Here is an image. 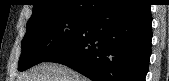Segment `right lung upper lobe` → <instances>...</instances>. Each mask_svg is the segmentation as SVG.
I'll list each match as a JSON object with an SVG mask.
<instances>
[{
    "label": "right lung upper lobe",
    "instance_id": "cb5924a9",
    "mask_svg": "<svg viewBox=\"0 0 169 81\" xmlns=\"http://www.w3.org/2000/svg\"><path fill=\"white\" fill-rule=\"evenodd\" d=\"M109 0H34L33 14L28 23L51 16L89 17Z\"/></svg>",
    "mask_w": 169,
    "mask_h": 81
}]
</instances>
